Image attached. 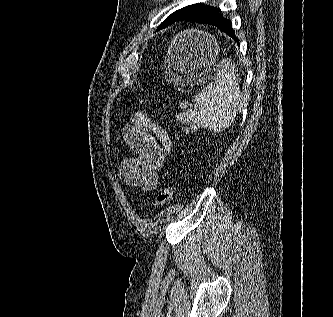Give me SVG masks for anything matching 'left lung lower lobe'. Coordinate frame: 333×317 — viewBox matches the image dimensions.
<instances>
[{
  "instance_id": "left-lung-lower-lobe-1",
  "label": "left lung lower lobe",
  "mask_w": 333,
  "mask_h": 317,
  "mask_svg": "<svg viewBox=\"0 0 333 317\" xmlns=\"http://www.w3.org/2000/svg\"><path fill=\"white\" fill-rule=\"evenodd\" d=\"M193 21L200 24L213 25L220 29L222 32L226 33L228 36L233 38L237 44L239 43L238 38L232 28V22L224 18L221 10L213 6H201L190 11L188 14L184 15L179 21Z\"/></svg>"
}]
</instances>
